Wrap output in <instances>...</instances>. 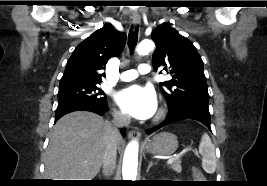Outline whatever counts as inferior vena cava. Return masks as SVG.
Returning a JSON list of instances; mask_svg holds the SVG:
<instances>
[{
    "mask_svg": "<svg viewBox=\"0 0 267 186\" xmlns=\"http://www.w3.org/2000/svg\"><path fill=\"white\" fill-rule=\"evenodd\" d=\"M129 124L130 118L128 115L120 112L113 114V120L109 123V133L102 158L103 173L105 176L111 175L116 165L117 145L121 137L119 128L128 127Z\"/></svg>",
    "mask_w": 267,
    "mask_h": 186,
    "instance_id": "1",
    "label": "inferior vena cava"
}]
</instances>
